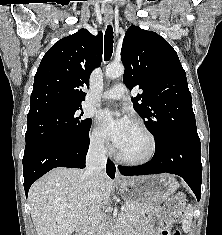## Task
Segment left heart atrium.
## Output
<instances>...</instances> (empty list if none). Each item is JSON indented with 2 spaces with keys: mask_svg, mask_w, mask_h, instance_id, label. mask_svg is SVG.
Wrapping results in <instances>:
<instances>
[{
  "mask_svg": "<svg viewBox=\"0 0 222 235\" xmlns=\"http://www.w3.org/2000/svg\"><path fill=\"white\" fill-rule=\"evenodd\" d=\"M100 118L105 132L110 136L115 146L120 148L133 125L131 119L127 116L116 117L109 110L103 111Z\"/></svg>",
  "mask_w": 222,
  "mask_h": 235,
  "instance_id": "left-heart-atrium-1",
  "label": "left heart atrium"
}]
</instances>
